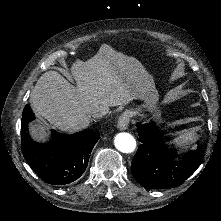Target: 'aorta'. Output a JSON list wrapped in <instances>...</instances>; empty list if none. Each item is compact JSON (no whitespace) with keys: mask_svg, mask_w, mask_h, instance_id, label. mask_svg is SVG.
<instances>
[{"mask_svg":"<svg viewBox=\"0 0 221 221\" xmlns=\"http://www.w3.org/2000/svg\"><path fill=\"white\" fill-rule=\"evenodd\" d=\"M115 147L123 153H131L136 148L135 138L126 132H121L115 136Z\"/></svg>","mask_w":221,"mask_h":221,"instance_id":"1","label":"aorta"}]
</instances>
